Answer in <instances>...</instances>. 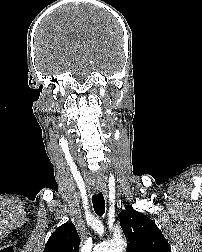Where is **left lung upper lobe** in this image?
Returning a JSON list of instances; mask_svg holds the SVG:
<instances>
[{
  "instance_id": "5c2ea615",
  "label": "left lung upper lobe",
  "mask_w": 202,
  "mask_h": 252,
  "mask_svg": "<svg viewBox=\"0 0 202 252\" xmlns=\"http://www.w3.org/2000/svg\"><path fill=\"white\" fill-rule=\"evenodd\" d=\"M119 218L128 241L127 252H171L169 243L149 217L127 206Z\"/></svg>"
}]
</instances>
